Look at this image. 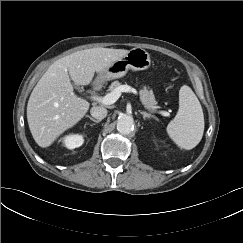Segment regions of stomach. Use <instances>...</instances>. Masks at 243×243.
<instances>
[{
	"mask_svg": "<svg viewBox=\"0 0 243 243\" xmlns=\"http://www.w3.org/2000/svg\"><path fill=\"white\" fill-rule=\"evenodd\" d=\"M151 66L150 54L143 48H133L117 61L98 74L97 80L104 82L126 75L129 69L134 71L146 70Z\"/></svg>",
	"mask_w": 243,
	"mask_h": 243,
	"instance_id": "0dacf381",
	"label": "stomach"
}]
</instances>
